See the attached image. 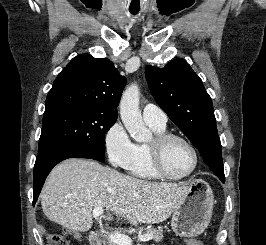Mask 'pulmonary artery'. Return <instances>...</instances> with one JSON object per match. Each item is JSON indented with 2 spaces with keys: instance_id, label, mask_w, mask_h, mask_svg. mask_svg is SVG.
Returning <instances> with one entry per match:
<instances>
[{
  "instance_id": "1",
  "label": "pulmonary artery",
  "mask_w": 266,
  "mask_h": 245,
  "mask_svg": "<svg viewBox=\"0 0 266 245\" xmlns=\"http://www.w3.org/2000/svg\"><path fill=\"white\" fill-rule=\"evenodd\" d=\"M143 118L148 124H157L165 126L167 123V115L165 112L155 105H146L142 111Z\"/></svg>"
}]
</instances>
